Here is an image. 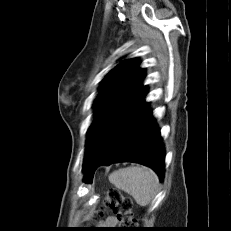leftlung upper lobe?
<instances>
[{
  "instance_id": "left-lung-upper-lobe-1",
  "label": "left lung upper lobe",
  "mask_w": 231,
  "mask_h": 231,
  "mask_svg": "<svg viewBox=\"0 0 231 231\" xmlns=\"http://www.w3.org/2000/svg\"><path fill=\"white\" fill-rule=\"evenodd\" d=\"M139 64L136 58L122 61L103 79L94 101L95 117L88 129L84 162L109 123L142 89L144 69Z\"/></svg>"
}]
</instances>
